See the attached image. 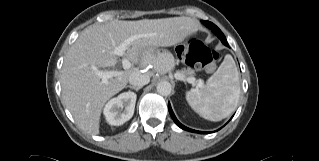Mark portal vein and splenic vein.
Segmentation results:
<instances>
[{
	"label": "portal vein and splenic vein",
	"instance_id": "portal-vein-and-splenic-vein-1",
	"mask_svg": "<svg viewBox=\"0 0 319 161\" xmlns=\"http://www.w3.org/2000/svg\"><path fill=\"white\" fill-rule=\"evenodd\" d=\"M135 39L136 37H130L126 39L125 41H123L119 46L114 48L113 54L123 57L125 55L127 46L130 45ZM131 65H132L131 62L128 59L126 58L122 59V66L125 70L130 69ZM93 68L96 71V75L99 78H101L104 83H106L108 79L112 77H117L121 75V72L119 71H100V70H97L95 67ZM175 78L178 80L187 81L188 83H192V84H194L196 81L194 77H185L180 73H176Z\"/></svg>",
	"mask_w": 319,
	"mask_h": 161
}]
</instances>
